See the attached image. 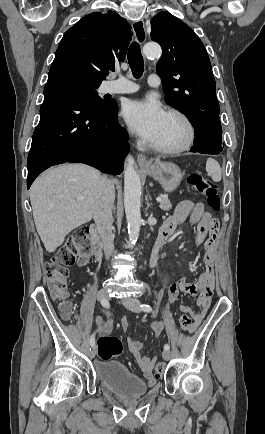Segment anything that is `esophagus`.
Wrapping results in <instances>:
<instances>
[{
    "label": "esophagus",
    "instance_id": "34e87169",
    "mask_svg": "<svg viewBox=\"0 0 265 434\" xmlns=\"http://www.w3.org/2000/svg\"><path fill=\"white\" fill-rule=\"evenodd\" d=\"M132 30L135 36V41L138 44H142L146 41L147 33L144 25V21L142 19L134 20L132 22ZM137 162L139 167H148L150 166L147 158L144 154H139L137 157Z\"/></svg>",
    "mask_w": 265,
    "mask_h": 434
}]
</instances>
